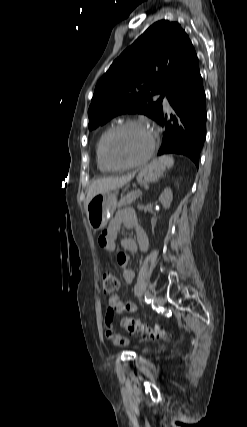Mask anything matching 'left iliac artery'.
<instances>
[{
    "label": "left iliac artery",
    "mask_w": 247,
    "mask_h": 427,
    "mask_svg": "<svg viewBox=\"0 0 247 427\" xmlns=\"http://www.w3.org/2000/svg\"><path fill=\"white\" fill-rule=\"evenodd\" d=\"M145 301H146V303H151V302H153V300H152V296H151V294L150 293H147L146 295H145Z\"/></svg>",
    "instance_id": "obj_1"
}]
</instances>
